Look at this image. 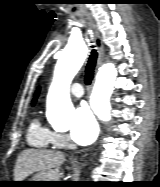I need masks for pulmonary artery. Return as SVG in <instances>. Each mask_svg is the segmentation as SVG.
I'll list each match as a JSON object with an SVG mask.
<instances>
[{
  "instance_id": "pulmonary-artery-1",
  "label": "pulmonary artery",
  "mask_w": 160,
  "mask_h": 187,
  "mask_svg": "<svg viewBox=\"0 0 160 187\" xmlns=\"http://www.w3.org/2000/svg\"><path fill=\"white\" fill-rule=\"evenodd\" d=\"M71 93L73 96L80 98L84 95L83 86L80 83H74L71 86Z\"/></svg>"
}]
</instances>
